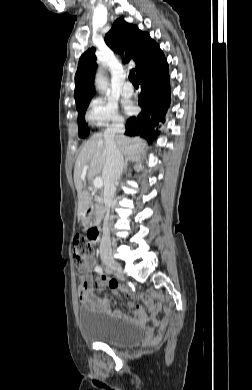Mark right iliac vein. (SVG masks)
<instances>
[{"label": "right iliac vein", "mask_w": 252, "mask_h": 390, "mask_svg": "<svg viewBox=\"0 0 252 390\" xmlns=\"http://www.w3.org/2000/svg\"><path fill=\"white\" fill-rule=\"evenodd\" d=\"M102 260L109 270L119 272V273L122 272L121 265L112 257L103 256Z\"/></svg>", "instance_id": "1"}]
</instances>
